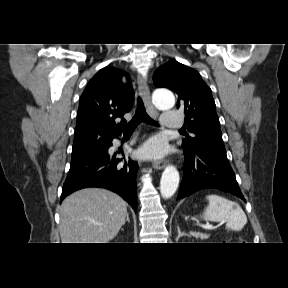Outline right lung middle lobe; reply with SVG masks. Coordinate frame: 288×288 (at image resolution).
I'll return each instance as SVG.
<instances>
[{
  "mask_svg": "<svg viewBox=\"0 0 288 288\" xmlns=\"http://www.w3.org/2000/svg\"><path fill=\"white\" fill-rule=\"evenodd\" d=\"M93 151V150H91ZM91 151H88V150H76V151H72V160H75Z\"/></svg>",
  "mask_w": 288,
  "mask_h": 288,
  "instance_id": "dd1d6c3e",
  "label": "right lung middle lobe"
}]
</instances>
